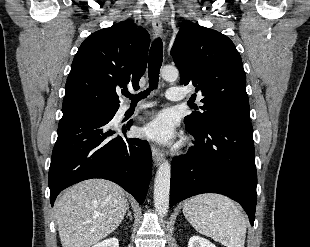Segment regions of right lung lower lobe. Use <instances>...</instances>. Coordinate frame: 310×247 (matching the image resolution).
<instances>
[{
  "mask_svg": "<svg viewBox=\"0 0 310 247\" xmlns=\"http://www.w3.org/2000/svg\"><path fill=\"white\" fill-rule=\"evenodd\" d=\"M115 114L100 113L62 117L49 168L50 202L65 188L91 178L113 181L144 202L152 173L147 141L119 136L111 127Z\"/></svg>",
  "mask_w": 310,
  "mask_h": 247,
  "instance_id": "obj_1",
  "label": "right lung lower lobe"
}]
</instances>
